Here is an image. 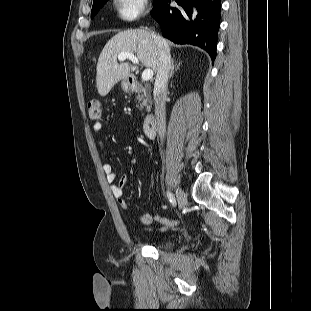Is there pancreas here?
<instances>
[{
  "instance_id": "cf45deb5",
  "label": "pancreas",
  "mask_w": 311,
  "mask_h": 311,
  "mask_svg": "<svg viewBox=\"0 0 311 311\" xmlns=\"http://www.w3.org/2000/svg\"><path fill=\"white\" fill-rule=\"evenodd\" d=\"M139 86L141 88H140V91H139L136 99H137L141 109L146 107L149 110L150 109V105H151V96L147 92V90L141 86V84H139Z\"/></svg>"
}]
</instances>
